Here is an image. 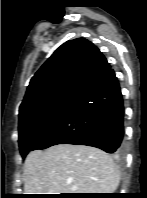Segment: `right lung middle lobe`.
I'll list each match as a JSON object with an SVG mask.
<instances>
[{
  "label": "right lung middle lobe",
  "instance_id": "right-lung-middle-lobe-1",
  "mask_svg": "<svg viewBox=\"0 0 147 198\" xmlns=\"http://www.w3.org/2000/svg\"><path fill=\"white\" fill-rule=\"evenodd\" d=\"M75 101H54L19 117V147L23 158L72 108Z\"/></svg>",
  "mask_w": 147,
  "mask_h": 198
}]
</instances>
